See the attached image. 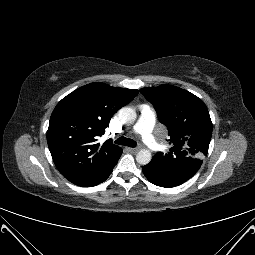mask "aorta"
Returning a JSON list of instances; mask_svg holds the SVG:
<instances>
[{
	"label": "aorta",
	"instance_id": "1",
	"mask_svg": "<svg viewBox=\"0 0 255 255\" xmlns=\"http://www.w3.org/2000/svg\"><path fill=\"white\" fill-rule=\"evenodd\" d=\"M120 117L125 123H133L136 119V113L131 108L121 110ZM152 159L150 150L142 149L136 154V161L141 165H147Z\"/></svg>",
	"mask_w": 255,
	"mask_h": 255
}]
</instances>
